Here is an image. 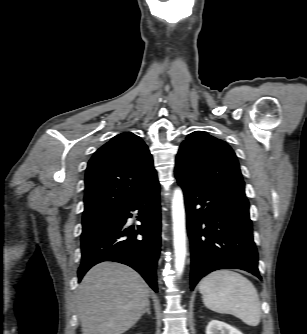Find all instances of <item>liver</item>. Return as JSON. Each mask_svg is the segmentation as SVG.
<instances>
[{"mask_svg": "<svg viewBox=\"0 0 307 334\" xmlns=\"http://www.w3.org/2000/svg\"><path fill=\"white\" fill-rule=\"evenodd\" d=\"M150 289L132 268L116 262L92 267L82 279L77 307L82 334H123L142 316Z\"/></svg>", "mask_w": 307, "mask_h": 334, "instance_id": "6515ba94", "label": "liver"}]
</instances>
